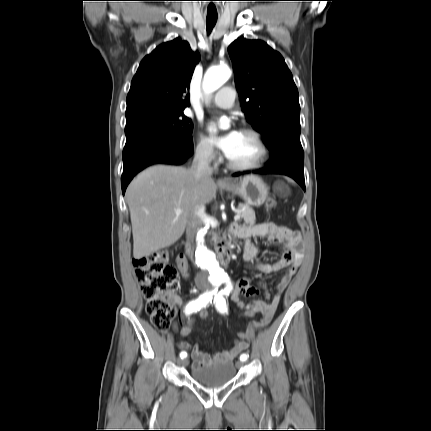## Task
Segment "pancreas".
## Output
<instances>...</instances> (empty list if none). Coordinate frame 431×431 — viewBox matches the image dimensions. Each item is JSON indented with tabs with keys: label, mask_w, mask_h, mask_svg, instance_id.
I'll return each mask as SVG.
<instances>
[{
	"label": "pancreas",
	"mask_w": 431,
	"mask_h": 431,
	"mask_svg": "<svg viewBox=\"0 0 431 431\" xmlns=\"http://www.w3.org/2000/svg\"><path fill=\"white\" fill-rule=\"evenodd\" d=\"M238 208L241 210L239 214L244 222L246 224L254 225L256 221L254 210L246 204H239Z\"/></svg>",
	"instance_id": "cf45deb5"
}]
</instances>
